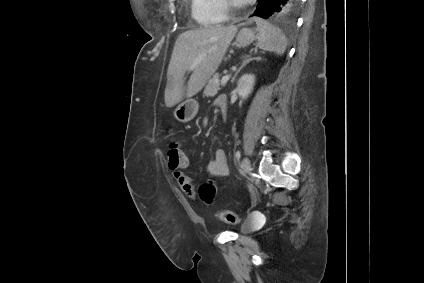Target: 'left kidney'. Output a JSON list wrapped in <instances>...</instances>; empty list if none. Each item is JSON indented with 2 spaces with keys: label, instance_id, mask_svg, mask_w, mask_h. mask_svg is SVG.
I'll use <instances>...</instances> for the list:
<instances>
[{
  "label": "left kidney",
  "instance_id": "left-kidney-1",
  "mask_svg": "<svg viewBox=\"0 0 424 283\" xmlns=\"http://www.w3.org/2000/svg\"><path fill=\"white\" fill-rule=\"evenodd\" d=\"M255 84V76L252 74H244L237 83L236 91L242 99H247L251 94Z\"/></svg>",
  "mask_w": 424,
  "mask_h": 283
}]
</instances>
